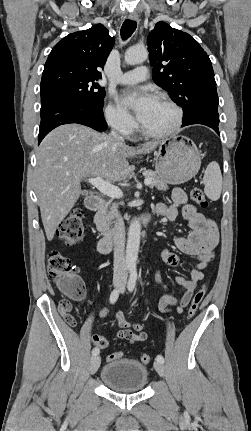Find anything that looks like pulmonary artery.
<instances>
[{"mask_svg":"<svg viewBox=\"0 0 251 431\" xmlns=\"http://www.w3.org/2000/svg\"><path fill=\"white\" fill-rule=\"evenodd\" d=\"M148 76V70L145 66L137 67L136 69L124 72L117 76V82L121 84H135L145 80Z\"/></svg>","mask_w":251,"mask_h":431,"instance_id":"e3ab8cb5","label":"pulmonary artery"}]
</instances>
